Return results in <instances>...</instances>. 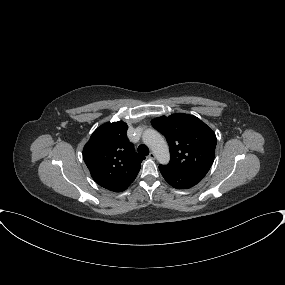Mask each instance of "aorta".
Instances as JSON below:
<instances>
[{"label": "aorta", "mask_w": 285, "mask_h": 285, "mask_svg": "<svg viewBox=\"0 0 285 285\" xmlns=\"http://www.w3.org/2000/svg\"><path fill=\"white\" fill-rule=\"evenodd\" d=\"M142 139L144 144L153 151L159 163L168 164L170 160L168 145L159 132L154 129H147L143 133Z\"/></svg>", "instance_id": "762f6f07"}]
</instances>
